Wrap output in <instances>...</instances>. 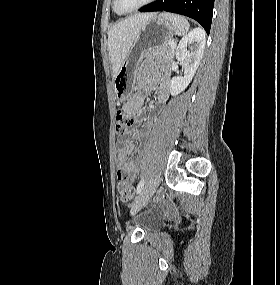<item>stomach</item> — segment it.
Here are the masks:
<instances>
[{
  "instance_id": "stomach-1",
  "label": "stomach",
  "mask_w": 280,
  "mask_h": 285,
  "mask_svg": "<svg viewBox=\"0 0 280 285\" xmlns=\"http://www.w3.org/2000/svg\"><path fill=\"white\" fill-rule=\"evenodd\" d=\"M174 33L173 24L162 15H155L146 22L114 78L115 95L119 101L131 96L138 65L145 53L168 42Z\"/></svg>"
}]
</instances>
